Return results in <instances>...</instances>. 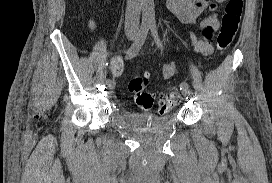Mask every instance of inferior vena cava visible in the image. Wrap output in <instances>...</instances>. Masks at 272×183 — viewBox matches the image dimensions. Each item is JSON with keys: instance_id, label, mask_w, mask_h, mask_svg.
Masks as SVG:
<instances>
[{"instance_id": "1", "label": "inferior vena cava", "mask_w": 272, "mask_h": 183, "mask_svg": "<svg viewBox=\"0 0 272 183\" xmlns=\"http://www.w3.org/2000/svg\"><path fill=\"white\" fill-rule=\"evenodd\" d=\"M141 9V0H127L125 13V30L127 32L138 30Z\"/></svg>"}]
</instances>
